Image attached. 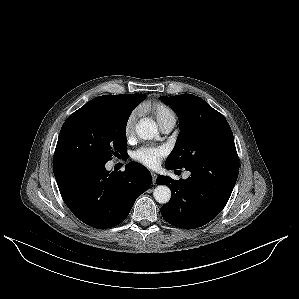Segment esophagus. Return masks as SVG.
<instances>
[{"label":"esophagus","mask_w":299,"mask_h":299,"mask_svg":"<svg viewBox=\"0 0 299 299\" xmlns=\"http://www.w3.org/2000/svg\"><path fill=\"white\" fill-rule=\"evenodd\" d=\"M151 177H152V184L155 185L156 184L157 175L154 172H151Z\"/></svg>","instance_id":"34e87169"}]
</instances>
